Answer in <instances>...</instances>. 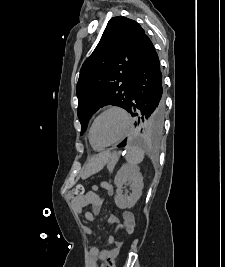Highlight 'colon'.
<instances>
[{
	"mask_svg": "<svg viewBox=\"0 0 225 267\" xmlns=\"http://www.w3.org/2000/svg\"><path fill=\"white\" fill-rule=\"evenodd\" d=\"M73 194L76 196V197H81L83 194H84V187L82 185H76L74 188H73ZM105 267H115V262L113 259H109L107 262H106V265Z\"/></svg>",
	"mask_w": 225,
	"mask_h": 267,
	"instance_id": "1",
	"label": "colon"
}]
</instances>
